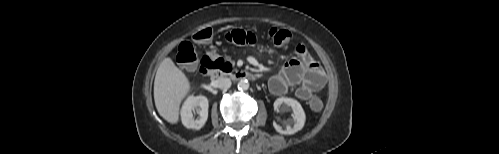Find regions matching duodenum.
<instances>
[{
    "label": "duodenum",
    "instance_id": "1",
    "mask_svg": "<svg viewBox=\"0 0 499 154\" xmlns=\"http://www.w3.org/2000/svg\"><path fill=\"white\" fill-rule=\"evenodd\" d=\"M208 76L212 79L227 77L233 81L256 80L257 75L251 71L246 70H228L222 73L220 70L212 68L208 72Z\"/></svg>",
    "mask_w": 499,
    "mask_h": 154
}]
</instances>
